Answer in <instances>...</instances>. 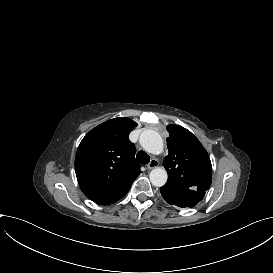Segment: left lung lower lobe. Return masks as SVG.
Wrapping results in <instances>:
<instances>
[{
	"mask_svg": "<svg viewBox=\"0 0 273 273\" xmlns=\"http://www.w3.org/2000/svg\"><path fill=\"white\" fill-rule=\"evenodd\" d=\"M160 193L169 204L182 208L195 206L205 195V191L168 185L161 187Z\"/></svg>",
	"mask_w": 273,
	"mask_h": 273,
	"instance_id": "left-lung-lower-lobe-1",
	"label": "left lung lower lobe"
}]
</instances>
